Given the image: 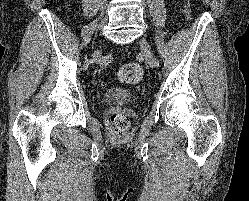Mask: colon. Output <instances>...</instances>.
<instances>
[{"label": "colon", "mask_w": 249, "mask_h": 201, "mask_svg": "<svg viewBox=\"0 0 249 201\" xmlns=\"http://www.w3.org/2000/svg\"><path fill=\"white\" fill-rule=\"evenodd\" d=\"M189 4L187 5L188 9ZM143 76L142 68L136 63H128L121 66L118 78L125 84H136ZM107 127L116 139H123L127 135L129 118L122 112H115L108 116Z\"/></svg>", "instance_id": "1"}]
</instances>
